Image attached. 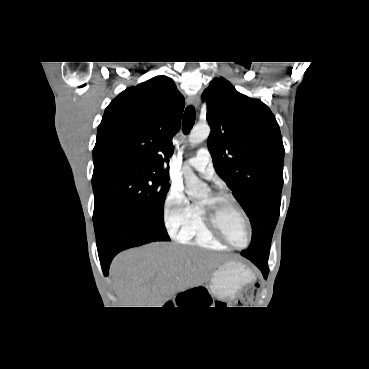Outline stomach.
I'll list each match as a JSON object with an SVG mask.
<instances>
[{"mask_svg":"<svg viewBox=\"0 0 369 369\" xmlns=\"http://www.w3.org/2000/svg\"><path fill=\"white\" fill-rule=\"evenodd\" d=\"M253 276L246 267L235 261H227L218 265L210 281V291L224 300L232 299L252 280Z\"/></svg>","mask_w":369,"mask_h":369,"instance_id":"stomach-1","label":"stomach"}]
</instances>
